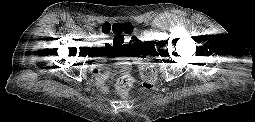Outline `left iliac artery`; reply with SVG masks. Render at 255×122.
Masks as SVG:
<instances>
[{
    "instance_id": "left-iliac-artery-1",
    "label": "left iliac artery",
    "mask_w": 255,
    "mask_h": 122,
    "mask_svg": "<svg viewBox=\"0 0 255 122\" xmlns=\"http://www.w3.org/2000/svg\"><path fill=\"white\" fill-rule=\"evenodd\" d=\"M151 33H152V30H147L145 34H147V35H149V36H150V35H151Z\"/></svg>"
}]
</instances>
